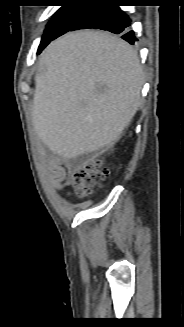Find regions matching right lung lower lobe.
Segmentation results:
<instances>
[{
    "mask_svg": "<svg viewBox=\"0 0 184 327\" xmlns=\"http://www.w3.org/2000/svg\"><path fill=\"white\" fill-rule=\"evenodd\" d=\"M130 25V18L119 6L113 4L94 5L87 9L80 21L70 31L85 28L106 30L115 34H123L124 40L134 44L137 39L134 31L128 30Z\"/></svg>",
    "mask_w": 184,
    "mask_h": 327,
    "instance_id": "obj_1",
    "label": "right lung lower lobe"
}]
</instances>
